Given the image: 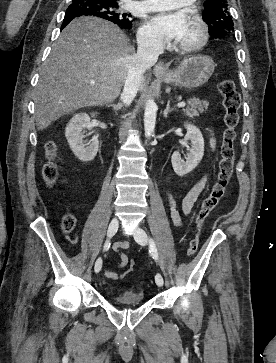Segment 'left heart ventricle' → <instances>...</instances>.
<instances>
[{
    "instance_id": "obj_1",
    "label": "left heart ventricle",
    "mask_w": 276,
    "mask_h": 363,
    "mask_svg": "<svg viewBox=\"0 0 276 363\" xmlns=\"http://www.w3.org/2000/svg\"><path fill=\"white\" fill-rule=\"evenodd\" d=\"M198 37V28L195 25V23L188 18L187 26L184 34L180 38L179 41H177V44H188L191 42H194Z\"/></svg>"
}]
</instances>
